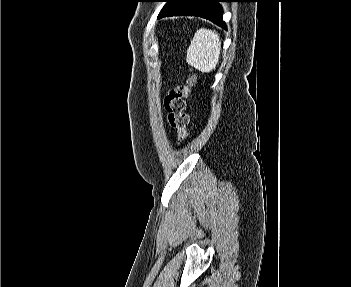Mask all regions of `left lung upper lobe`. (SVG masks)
I'll return each mask as SVG.
<instances>
[{
    "mask_svg": "<svg viewBox=\"0 0 351 287\" xmlns=\"http://www.w3.org/2000/svg\"><path fill=\"white\" fill-rule=\"evenodd\" d=\"M158 1L166 2L165 6H167L172 0H158ZM165 6H164V7H165Z\"/></svg>",
    "mask_w": 351,
    "mask_h": 287,
    "instance_id": "obj_1",
    "label": "left lung upper lobe"
}]
</instances>
